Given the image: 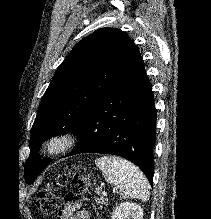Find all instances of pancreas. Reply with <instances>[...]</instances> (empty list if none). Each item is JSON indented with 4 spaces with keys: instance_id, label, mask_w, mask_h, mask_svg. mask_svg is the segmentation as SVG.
I'll return each instance as SVG.
<instances>
[{
    "instance_id": "obj_1",
    "label": "pancreas",
    "mask_w": 211,
    "mask_h": 219,
    "mask_svg": "<svg viewBox=\"0 0 211 219\" xmlns=\"http://www.w3.org/2000/svg\"><path fill=\"white\" fill-rule=\"evenodd\" d=\"M97 194L99 195L100 191H97ZM96 202L101 205L100 208L102 209V205H106L107 199L102 196L100 198H96Z\"/></svg>"
}]
</instances>
